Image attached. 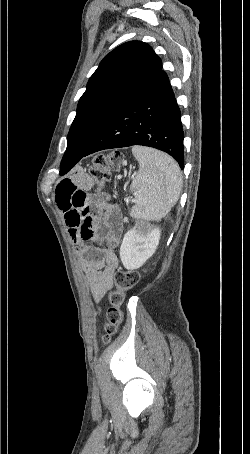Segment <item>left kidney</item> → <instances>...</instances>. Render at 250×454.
Instances as JSON below:
<instances>
[{
    "label": "left kidney",
    "instance_id": "5707ae66",
    "mask_svg": "<svg viewBox=\"0 0 250 454\" xmlns=\"http://www.w3.org/2000/svg\"><path fill=\"white\" fill-rule=\"evenodd\" d=\"M161 231L158 227L145 229L135 225L123 238L120 259L128 270L140 268L156 251Z\"/></svg>",
    "mask_w": 250,
    "mask_h": 454
}]
</instances>
